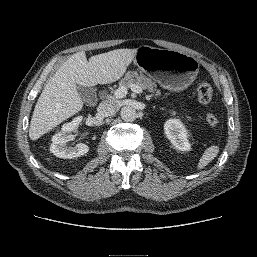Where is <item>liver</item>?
Segmentation results:
<instances>
[{
  "label": "liver",
  "instance_id": "6515ba94",
  "mask_svg": "<svg viewBox=\"0 0 257 257\" xmlns=\"http://www.w3.org/2000/svg\"><path fill=\"white\" fill-rule=\"evenodd\" d=\"M137 49H116L92 56L85 52L68 58L48 80L33 111L29 137L37 140L78 113L83 107L77 85L94 87L119 80L134 60Z\"/></svg>",
  "mask_w": 257,
  "mask_h": 257
}]
</instances>
